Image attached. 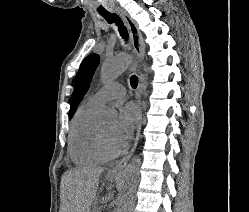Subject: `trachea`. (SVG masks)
<instances>
[{
	"instance_id": "3493384b",
	"label": "trachea",
	"mask_w": 249,
	"mask_h": 212,
	"mask_svg": "<svg viewBox=\"0 0 249 212\" xmlns=\"http://www.w3.org/2000/svg\"><path fill=\"white\" fill-rule=\"evenodd\" d=\"M102 17H104V19L107 20V22L111 23H116L119 27L120 33L123 37H127V29L126 27L123 25V22L121 21V19L118 17V15H116V13H101ZM130 84L132 88H136L138 85V78L136 77V75H132V77L130 78Z\"/></svg>"
}]
</instances>
